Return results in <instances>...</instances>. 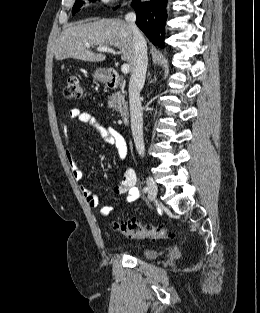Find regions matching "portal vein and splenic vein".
<instances>
[{
	"mask_svg": "<svg viewBox=\"0 0 260 313\" xmlns=\"http://www.w3.org/2000/svg\"><path fill=\"white\" fill-rule=\"evenodd\" d=\"M86 46L88 47V48H90V45L89 44H86ZM97 51H100V52H108V53H112V54H117L113 49H111L110 47H108V46H99V47H97ZM121 70H122V72L124 73V74H127V73H129V71H130V67H129V65L128 64H123L122 65V67H121Z\"/></svg>",
	"mask_w": 260,
	"mask_h": 313,
	"instance_id": "portal-vein-and-splenic-vein-1",
	"label": "portal vein and splenic vein"
}]
</instances>
